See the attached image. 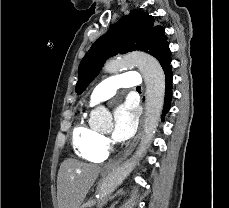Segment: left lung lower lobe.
<instances>
[{"instance_id":"obj_1","label":"left lung lower lobe","mask_w":229,"mask_h":208,"mask_svg":"<svg viewBox=\"0 0 229 208\" xmlns=\"http://www.w3.org/2000/svg\"><path fill=\"white\" fill-rule=\"evenodd\" d=\"M171 59L168 60L162 67L165 73L166 88H165V101L162 113V121H164V116L168 112L171 106L172 99V67L170 65Z\"/></svg>"}]
</instances>
